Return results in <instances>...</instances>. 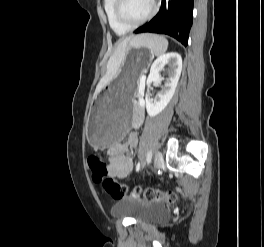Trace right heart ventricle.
Instances as JSON below:
<instances>
[{"label":"right heart ventricle","instance_id":"1","mask_svg":"<svg viewBox=\"0 0 264 247\" xmlns=\"http://www.w3.org/2000/svg\"><path fill=\"white\" fill-rule=\"evenodd\" d=\"M116 0H103V8L111 29L118 35H124L130 31V28L123 25L115 15Z\"/></svg>","mask_w":264,"mask_h":247}]
</instances>
